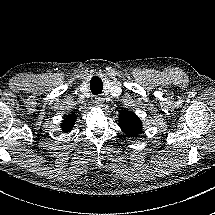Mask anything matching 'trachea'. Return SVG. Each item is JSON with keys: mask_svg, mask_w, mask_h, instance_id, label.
I'll use <instances>...</instances> for the list:
<instances>
[{"mask_svg": "<svg viewBox=\"0 0 215 215\" xmlns=\"http://www.w3.org/2000/svg\"><path fill=\"white\" fill-rule=\"evenodd\" d=\"M90 88H91V91H92V93H93L94 95L101 94L102 89H103L102 80H101L99 77L94 76V77L91 79Z\"/></svg>", "mask_w": 215, "mask_h": 215, "instance_id": "obj_1", "label": "trachea"}]
</instances>
